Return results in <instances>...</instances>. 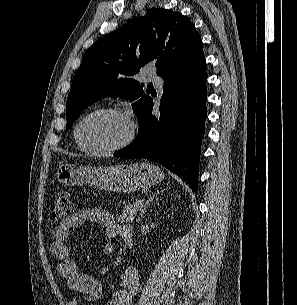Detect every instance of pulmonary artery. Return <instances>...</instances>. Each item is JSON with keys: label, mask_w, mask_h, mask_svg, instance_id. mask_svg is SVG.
<instances>
[{"label": "pulmonary artery", "mask_w": 297, "mask_h": 305, "mask_svg": "<svg viewBox=\"0 0 297 305\" xmlns=\"http://www.w3.org/2000/svg\"><path fill=\"white\" fill-rule=\"evenodd\" d=\"M151 82L153 83V84H155V85H158V86H160V85H162V79L160 78V77H158V76H156V75H154L153 73H152V75H151Z\"/></svg>", "instance_id": "e3ab8cb5"}]
</instances>
